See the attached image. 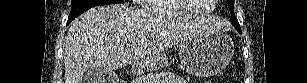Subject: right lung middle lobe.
I'll return each instance as SVG.
<instances>
[{
    "label": "right lung middle lobe",
    "instance_id": "1",
    "mask_svg": "<svg viewBox=\"0 0 307 83\" xmlns=\"http://www.w3.org/2000/svg\"><path fill=\"white\" fill-rule=\"evenodd\" d=\"M71 3L72 8L67 24H69L78 15L92 7L106 4L124 3V0H72Z\"/></svg>",
    "mask_w": 307,
    "mask_h": 83
}]
</instances>
